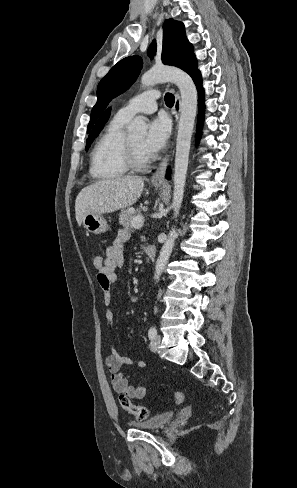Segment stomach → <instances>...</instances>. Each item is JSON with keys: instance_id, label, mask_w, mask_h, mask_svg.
I'll return each mask as SVG.
<instances>
[{"instance_id": "stomach-1", "label": "stomach", "mask_w": 297, "mask_h": 488, "mask_svg": "<svg viewBox=\"0 0 297 488\" xmlns=\"http://www.w3.org/2000/svg\"><path fill=\"white\" fill-rule=\"evenodd\" d=\"M82 222L84 228L93 234H101L108 230L107 220L101 214L88 213Z\"/></svg>"}]
</instances>
